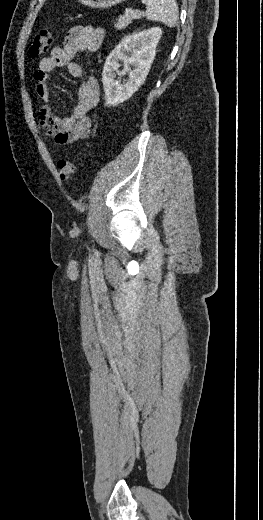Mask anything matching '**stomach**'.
Returning <instances> with one entry per match:
<instances>
[{"label":"stomach","mask_w":263,"mask_h":520,"mask_svg":"<svg viewBox=\"0 0 263 520\" xmlns=\"http://www.w3.org/2000/svg\"><path fill=\"white\" fill-rule=\"evenodd\" d=\"M124 1L125 0H78V2H81L85 6L102 9L115 6Z\"/></svg>","instance_id":"1"}]
</instances>
